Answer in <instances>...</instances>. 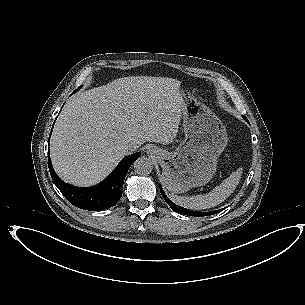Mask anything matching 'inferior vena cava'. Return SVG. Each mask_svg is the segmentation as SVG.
Returning <instances> with one entry per match:
<instances>
[{"mask_svg":"<svg viewBox=\"0 0 305 305\" xmlns=\"http://www.w3.org/2000/svg\"><path fill=\"white\" fill-rule=\"evenodd\" d=\"M139 144L136 143V142H126L124 144V149L127 151V152H134L136 151L138 148H139Z\"/></svg>","mask_w":305,"mask_h":305,"instance_id":"602c4592","label":"inferior vena cava"}]
</instances>
